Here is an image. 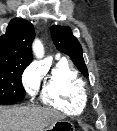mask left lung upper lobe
Listing matches in <instances>:
<instances>
[{
  "label": "left lung upper lobe",
  "mask_w": 117,
  "mask_h": 131,
  "mask_svg": "<svg viewBox=\"0 0 117 131\" xmlns=\"http://www.w3.org/2000/svg\"><path fill=\"white\" fill-rule=\"evenodd\" d=\"M51 35L56 48L69 55L76 67L84 74L88 75V71L82 56V47L72 31L67 26L53 25L51 27Z\"/></svg>",
  "instance_id": "left-lung-upper-lobe-1"
}]
</instances>
